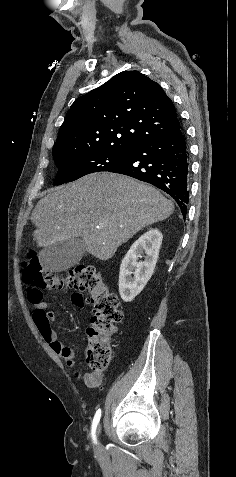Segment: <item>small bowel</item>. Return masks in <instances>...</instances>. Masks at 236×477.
<instances>
[{"instance_id":"c3829d8e","label":"small bowel","mask_w":236,"mask_h":477,"mask_svg":"<svg viewBox=\"0 0 236 477\" xmlns=\"http://www.w3.org/2000/svg\"><path fill=\"white\" fill-rule=\"evenodd\" d=\"M72 300L79 308H83L85 306V302L81 295H74ZM31 303H33L35 306L32 318L39 334L42 336L44 341L48 343L51 349L65 360L68 366H73L76 359V352L73 348L65 346L59 340L57 332L53 329L52 323L56 319L55 313L49 310L48 304L44 301L40 300ZM77 377H80V375L77 374ZM82 379L85 384L89 386H96L101 384L102 375L100 373H86L82 376Z\"/></svg>"}]
</instances>
